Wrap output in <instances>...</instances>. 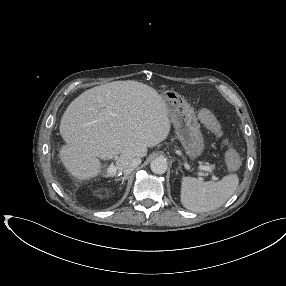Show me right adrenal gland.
<instances>
[{
    "instance_id": "obj_1",
    "label": "right adrenal gland",
    "mask_w": 286,
    "mask_h": 286,
    "mask_svg": "<svg viewBox=\"0 0 286 286\" xmlns=\"http://www.w3.org/2000/svg\"><path fill=\"white\" fill-rule=\"evenodd\" d=\"M127 179H128V176H124V177L121 178V180H122V185L124 184V181L127 180Z\"/></svg>"
}]
</instances>
